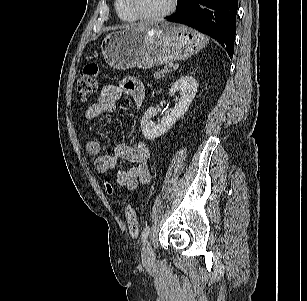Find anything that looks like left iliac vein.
Instances as JSON below:
<instances>
[{"label": "left iliac vein", "instance_id": "1", "mask_svg": "<svg viewBox=\"0 0 307 301\" xmlns=\"http://www.w3.org/2000/svg\"><path fill=\"white\" fill-rule=\"evenodd\" d=\"M155 260L154 250L149 241H145L142 249V261L144 264H150Z\"/></svg>", "mask_w": 307, "mask_h": 301}]
</instances>
